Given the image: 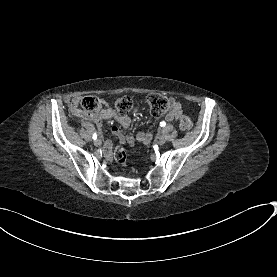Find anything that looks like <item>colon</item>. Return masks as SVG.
<instances>
[{
    "instance_id": "obj_1",
    "label": "colon",
    "mask_w": 277,
    "mask_h": 277,
    "mask_svg": "<svg viewBox=\"0 0 277 277\" xmlns=\"http://www.w3.org/2000/svg\"><path fill=\"white\" fill-rule=\"evenodd\" d=\"M98 100V94H85L81 105L86 110L95 111L100 106ZM141 103H143L147 110H149V112L155 117H162L169 111H175L179 120L180 129L183 132H187L191 129L192 123L190 118L175 106V102L172 97L160 93H148L141 98ZM113 104L115 111L121 117H125L134 106L135 101L130 96H122L116 98ZM114 157L120 164H124L126 162L127 155L122 145H118L116 147Z\"/></svg>"
}]
</instances>
